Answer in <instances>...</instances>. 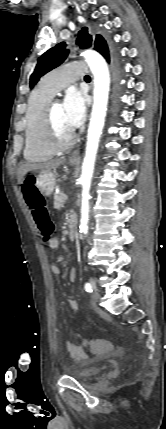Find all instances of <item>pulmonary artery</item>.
<instances>
[{
	"instance_id": "e3ab8cb5",
	"label": "pulmonary artery",
	"mask_w": 166,
	"mask_h": 429,
	"mask_svg": "<svg viewBox=\"0 0 166 429\" xmlns=\"http://www.w3.org/2000/svg\"><path fill=\"white\" fill-rule=\"evenodd\" d=\"M88 65L82 61L67 63L45 76L40 82V87L55 95L68 85V83L81 79L87 73Z\"/></svg>"
}]
</instances>
